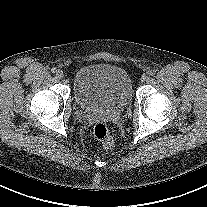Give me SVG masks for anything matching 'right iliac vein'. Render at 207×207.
<instances>
[{
  "label": "right iliac vein",
  "instance_id": "63e3f726",
  "mask_svg": "<svg viewBox=\"0 0 207 207\" xmlns=\"http://www.w3.org/2000/svg\"><path fill=\"white\" fill-rule=\"evenodd\" d=\"M56 75H57V77L60 78V79H62V78L64 77V73H63V71L60 70V69L57 70Z\"/></svg>",
  "mask_w": 207,
  "mask_h": 207
}]
</instances>
